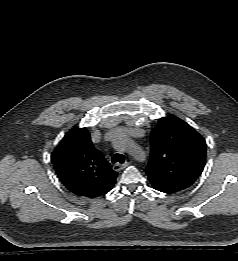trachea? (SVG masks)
<instances>
[{
    "mask_svg": "<svg viewBox=\"0 0 238 261\" xmlns=\"http://www.w3.org/2000/svg\"><path fill=\"white\" fill-rule=\"evenodd\" d=\"M111 161L113 162V163H124V161H125V156L124 155H122V154H119V153H117V154H114L113 156H112V158H111Z\"/></svg>",
    "mask_w": 238,
    "mask_h": 261,
    "instance_id": "obj_1",
    "label": "trachea"
}]
</instances>
